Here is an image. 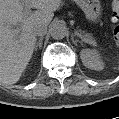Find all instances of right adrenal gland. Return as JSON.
Instances as JSON below:
<instances>
[{"instance_id": "right-adrenal-gland-1", "label": "right adrenal gland", "mask_w": 119, "mask_h": 119, "mask_svg": "<svg viewBox=\"0 0 119 119\" xmlns=\"http://www.w3.org/2000/svg\"><path fill=\"white\" fill-rule=\"evenodd\" d=\"M42 44H43V35L39 37V40H38V42H37V44L35 46V50H37L38 47L41 48Z\"/></svg>"}]
</instances>
